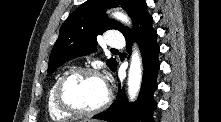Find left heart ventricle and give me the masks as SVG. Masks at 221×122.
Returning <instances> with one entry per match:
<instances>
[{
    "label": "left heart ventricle",
    "mask_w": 221,
    "mask_h": 122,
    "mask_svg": "<svg viewBox=\"0 0 221 122\" xmlns=\"http://www.w3.org/2000/svg\"><path fill=\"white\" fill-rule=\"evenodd\" d=\"M64 92L65 98L70 104L88 110L103 102L106 96V86L99 77L82 74L70 80Z\"/></svg>",
    "instance_id": "obj_1"
}]
</instances>
